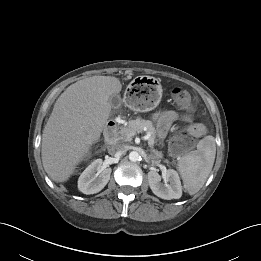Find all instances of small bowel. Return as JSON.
<instances>
[{
  "label": "small bowel",
  "mask_w": 261,
  "mask_h": 261,
  "mask_svg": "<svg viewBox=\"0 0 261 261\" xmlns=\"http://www.w3.org/2000/svg\"><path fill=\"white\" fill-rule=\"evenodd\" d=\"M157 121L158 135L160 139H164L173 124L177 120H181L187 123H191V117L185 114L178 113L173 110H162L155 115ZM190 127L193 128V134L195 136H202L205 133V128L202 124L191 123Z\"/></svg>",
  "instance_id": "small-bowel-1"
}]
</instances>
